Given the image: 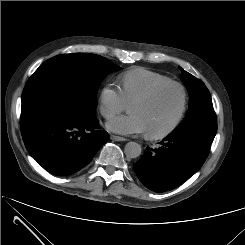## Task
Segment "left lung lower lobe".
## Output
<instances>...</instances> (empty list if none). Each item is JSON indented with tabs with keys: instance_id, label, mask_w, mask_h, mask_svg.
<instances>
[{
	"instance_id": "1",
	"label": "left lung lower lobe",
	"mask_w": 245,
	"mask_h": 245,
	"mask_svg": "<svg viewBox=\"0 0 245 245\" xmlns=\"http://www.w3.org/2000/svg\"><path fill=\"white\" fill-rule=\"evenodd\" d=\"M162 147L145 154L136 163L135 171L141 183L155 192H165L181 185L205 162L209 142L194 135H168Z\"/></svg>"
}]
</instances>
